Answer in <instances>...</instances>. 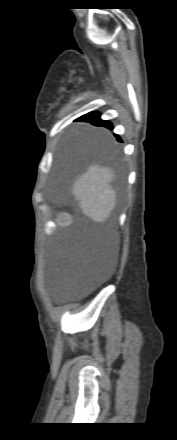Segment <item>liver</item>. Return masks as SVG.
<instances>
[{
    "mask_svg": "<svg viewBox=\"0 0 177 440\" xmlns=\"http://www.w3.org/2000/svg\"><path fill=\"white\" fill-rule=\"evenodd\" d=\"M114 179L112 168L92 164L72 185L71 193L80 209L94 222L106 221L116 206L117 193L112 186Z\"/></svg>",
    "mask_w": 177,
    "mask_h": 440,
    "instance_id": "liver-1",
    "label": "liver"
}]
</instances>
